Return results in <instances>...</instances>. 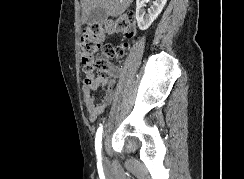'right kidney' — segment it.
<instances>
[{
  "instance_id": "ca27d5eb",
  "label": "right kidney",
  "mask_w": 244,
  "mask_h": 179,
  "mask_svg": "<svg viewBox=\"0 0 244 179\" xmlns=\"http://www.w3.org/2000/svg\"><path fill=\"white\" fill-rule=\"evenodd\" d=\"M148 2L149 0H136V20L140 30H148L150 28L154 20L161 14L167 0H155L151 10H148V14H146L144 6Z\"/></svg>"
}]
</instances>
